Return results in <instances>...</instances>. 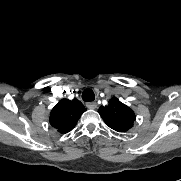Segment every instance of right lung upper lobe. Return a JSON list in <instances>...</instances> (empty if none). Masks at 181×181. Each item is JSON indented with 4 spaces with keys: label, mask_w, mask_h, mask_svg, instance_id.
<instances>
[{
    "label": "right lung upper lobe",
    "mask_w": 181,
    "mask_h": 181,
    "mask_svg": "<svg viewBox=\"0 0 181 181\" xmlns=\"http://www.w3.org/2000/svg\"><path fill=\"white\" fill-rule=\"evenodd\" d=\"M85 111L86 108L77 99H61L50 113V125L60 133H67L75 127Z\"/></svg>",
    "instance_id": "right-lung-upper-lobe-1"
}]
</instances>
